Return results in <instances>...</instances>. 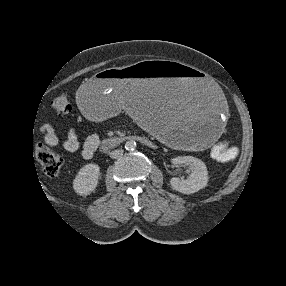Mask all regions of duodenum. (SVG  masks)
Masks as SVG:
<instances>
[{
    "label": "duodenum",
    "mask_w": 286,
    "mask_h": 286,
    "mask_svg": "<svg viewBox=\"0 0 286 286\" xmlns=\"http://www.w3.org/2000/svg\"><path fill=\"white\" fill-rule=\"evenodd\" d=\"M134 140L140 143H146L147 139L139 135H124V136H115L103 139L99 145L100 148L104 151L118 147L124 144L127 141Z\"/></svg>",
    "instance_id": "duodenum-1"
}]
</instances>
